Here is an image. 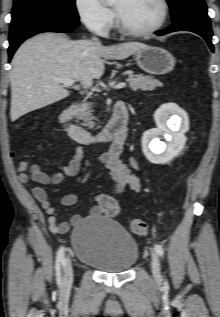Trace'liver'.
Here are the masks:
<instances>
[{"label":"liver","instance_id":"1","mask_svg":"<svg viewBox=\"0 0 220 317\" xmlns=\"http://www.w3.org/2000/svg\"><path fill=\"white\" fill-rule=\"evenodd\" d=\"M144 47L140 42L103 46L89 40L72 41L56 33H42L27 40L12 59L11 121L69 96L70 92L54 77L77 80L88 88L93 79L103 75V58L126 59Z\"/></svg>","mask_w":220,"mask_h":317}]
</instances>
